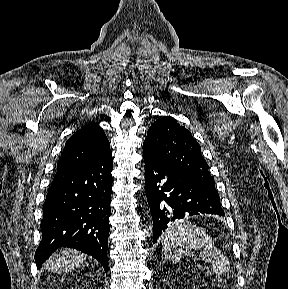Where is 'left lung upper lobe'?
I'll list each match as a JSON object with an SVG mask.
<instances>
[{"label": "left lung upper lobe", "mask_w": 288, "mask_h": 289, "mask_svg": "<svg viewBox=\"0 0 288 289\" xmlns=\"http://www.w3.org/2000/svg\"><path fill=\"white\" fill-rule=\"evenodd\" d=\"M167 167L188 178L215 188L201 147L191 133L169 118H160L149 128L143 143Z\"/></svg>", "instance_id": "5c2ea615"}]
</instances>
